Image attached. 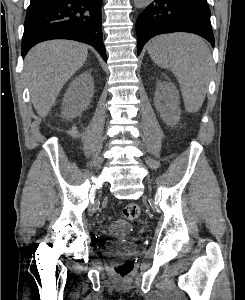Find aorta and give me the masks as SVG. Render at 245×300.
<instances>
[{
    "label": "aorta",
    "instance_id": "1",
    "mask_svg": "<svg viewBox=\"0 0 245 300\" xmlns=\"http://www.w3.org/2000/svg\"><path fill=\"white\" fill-rule=\"evenodd\" d=\"M136 8H144L148 6L152 0H133Z\"/></svg>",
    "mask_w": 245,
    "mask_h": 300
}]
</instances>
